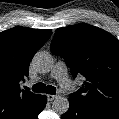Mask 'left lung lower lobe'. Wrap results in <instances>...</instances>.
<instances>
[{"label": "left lung lower lobe", "mask_w": 119, "mask_h": 119, "mask_svg": "<svg viewBox=\"0 0 119 119\" xmlns=\"http://www.w3.org/2000/svg\"><path fill=\"white\" fill-rule=\"evenodd\" d=\"M69 104L68 111L61 116L62 119H119V117L93 110L75 99L69 98Z\"/></svg>", "instance_id": "0a47b994"}]
</instances>
